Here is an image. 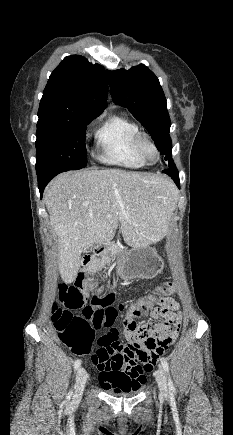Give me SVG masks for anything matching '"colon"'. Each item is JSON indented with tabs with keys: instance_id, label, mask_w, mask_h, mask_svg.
Here are the masks:
<instances>
[{
	"instance_id": "5ec220e1",
	"label": "colon",
	"mask_w": 233,
	"mask_h": 435,
	"mask_svg": "<svg viewBox=\"0 0 233 435\" xmlns=\"http://www.w3.org/2000/svg\"><path fill=\"white\" fill-rule=\"evenodd\" d=\"M103 274L94 269L83 270L76 278L74 284L61 283L58 286V300L66 308L55 307L52 316L57 336L73 354L89 355L92 353L94 364L106 362L113 354L119 353L124 358L126 367L143 366L151 371L156 361L164 354L173 341L175 328L164 323L162 330L150 324H138L135 318L146 319L159 314L157 295H169L173 289L169 282H161L154 288V295L139 298L132 306H121L125 311L122 324L126 342L116 341L102 336L97 337L96 331L102 327H109L118 317L114 307V295H98L85 304L81 289L101 279ZM71 310H80L74 314ZM118 392H126L133 388L124 374L115 376Z\"/></svg>"
}]
</instances>
